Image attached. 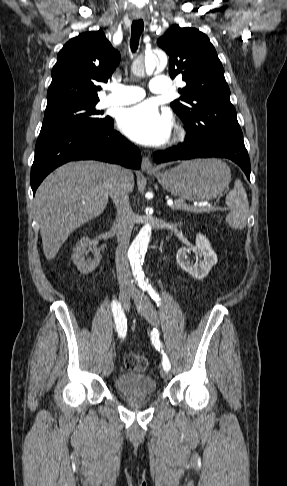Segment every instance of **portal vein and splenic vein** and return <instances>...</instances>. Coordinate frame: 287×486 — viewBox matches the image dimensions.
<instances>
[{
  "label": "portal vein and splenic vein",
  "mask_w": 287,
  "mask_h": 486,
  "mask_svg": "<svg viewBox=\"0 0 287 486\" xmlns=\"http://www.w3.org/2000/svg\"><path fill=\"white\" fill-rule=\"evenodd\" d=\"M167 204L171 208L175 207V208H180L182 210H186V211H190V212H196V213H202V212H204L205 209L212 208V205L208 202L201 204V205H198V206H192V205H187V204L175 205V203H173V201H168Z\"/></svg>",
  "instance_id": "obj_1"
}]
</instances>
